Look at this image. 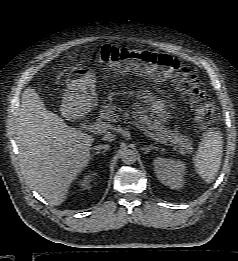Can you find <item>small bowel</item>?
Segmentation results:
<instances>
[{"label":"small bowel","instance_id":"obj_1","mask_svg":"<svg viewBox=\"0 0 238 261\" xmlns=\"http://www.w3.org/2000/svg\"><path fill=\"white\" fill-rule=\"evenodd\" d=\"M141 99L144 102L150 103L152 110L160 117H164L166 115L167 108L163 101L155 99L152 95L148 93L143 94L141 96Z\"/></svg>","mask_w":238,"mask_h":261}]
</instances>
